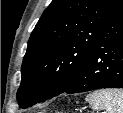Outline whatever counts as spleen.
I'll return each mask as SVG.
<instances>
[{
  "instance_id": "3e777b00",
  "label": "spleen",
  "mask_w": 123,
  "mask_h": 113,
  "mask_svg": "<svg viewBox=\"0 0 123 113\" xmlns=\"http://www.w3.org/2000/svg\"><path fill=\"white\" fill-rule=\"evenodd\" d=\"M90 107L93 110H105L106 113H123V90L101 89L87 95Z\"/></svg>"
}]
</instances>
